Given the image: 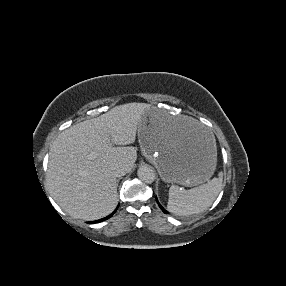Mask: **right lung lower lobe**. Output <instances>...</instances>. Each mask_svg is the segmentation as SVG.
I'll return each instance as SVG.
<instances>
[{
	"mask_svg": "<svg viewBox=\"0 0 286 286\" xmlns=\"http://www.w3.org/2000/svg\"><path fill=\"white\" fill-rule=\"evenodd\" d=\"M117 209H118V207H117V208L115 209V211H114L112 214H110L109 216H107V217H105V218H103V219L97 220V221L89 222V223H97V222H101V221L107 220L108 218H110V217L116 212Z\"/></svg>",
	"mask_w": 286,
	"mask_h": 286,
	"instance_id": "obj_1",
	"label": "right lung lower lobe"
}]
</instances>
